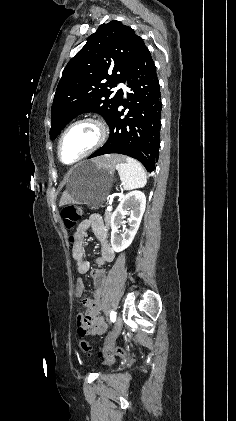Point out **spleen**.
Wrapping results in <instances>:
<instances>
[{"mask_svg":"<svg viewBox=\"0 0 236 421\" xmlns=\"http://www.w3.org/2000/svg\"><path fill=\"white\" fill-rule=\"evenodd\" d=\"M115 168H117L122 180V184L125 190H132V188H141L145 186L147 182L146 172L138 160L126 156L124 160L116 162Z\"/></svg>","mask_w":236,"mask_h":421,"instance_id":"3e777b00","label":"spleen"}]
</instances>
